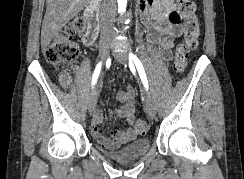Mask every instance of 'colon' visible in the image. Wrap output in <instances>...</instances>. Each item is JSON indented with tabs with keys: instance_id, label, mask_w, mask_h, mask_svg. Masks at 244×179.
Masks as SVG:
<instances>
[{
	"instance_id": "colon-1",
	"label": "colon",
	"mask_w": 244,
	"mask_h": 179,
	"mask_svg": "<svg viewBox=\"0 0 244 179\" xmlns=\"http://www.w3.org/2000/svg\"><path fill=\"white\" fill-rule=\"evenodd\" d=\"M195 10L196 7L193 1L179 0L178 11L175 13L182 19L185 32L182 41L177 46L173 59V72L177 75L185 71L190 52L198 46L199 23ZM84 26L85 22L82 19H74L68 22L45 50L46 61L57 67L58 77L64 85L69 83V78L61 67L77 59L79 48L72 38L82 32ZM135 129L139 133H144L148 127L143 120H137Z\"/></svg>"
}]
</instances>
